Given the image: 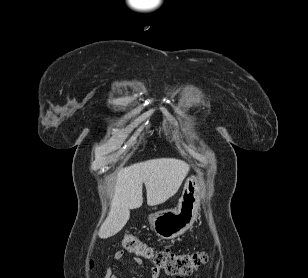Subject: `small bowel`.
<instances>
[{"label":"small bowel","instance_id":"obj_1","mask_svg":"<svg viewBox=\"0 0 308 278\" xmlns=\"http://www.w3.org/2000/svg\"><path fill=\"white\" fill-rule=\"evenodd\" d=\"M163 250H166V251H170V249L166 248V249H163ZM123 251H117L114 255V259L116 261V263L121 266L122 265V260H123ZM134 260V263L136 265H140L141 264V258L140 257H137L135 256L133 258ZM104 278H120L116 273L113 272V270L108 267L105 271V274H104ZM131 278H135V277H131ZM152 278H158V272L154 269L153 271V275H152ZM179 278V277H178Z\"/></svg>","mask_w":308,"mask_h":278}]
</instances>
